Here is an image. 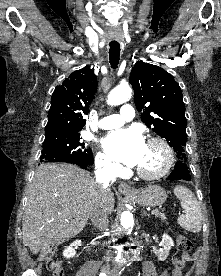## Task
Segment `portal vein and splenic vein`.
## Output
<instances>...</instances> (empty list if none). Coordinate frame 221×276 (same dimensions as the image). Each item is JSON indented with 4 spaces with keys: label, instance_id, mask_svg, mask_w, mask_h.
Segmentation results:
<instances>
[{
    "label": "portal vein and splenic vein",
    "instance_id": "obj_1",
    "mask_svg": "<svg viewBox=\"0 0 221 276\" xmlns=\"http://www.w3.org/2000/svg\"><path fill=\"white\" fill-rule=\"evenodd\" d=\"M151 213L154 214V215H157V214L160 213V211L156 209V210H153Z\"/></svg>",
    "mask_w": 221,
    "mask_h": 276
}]
</instances>
